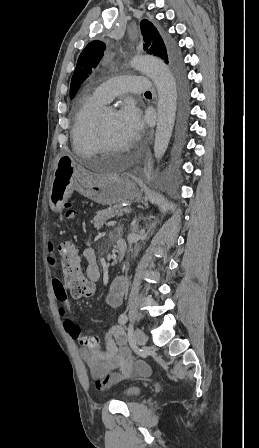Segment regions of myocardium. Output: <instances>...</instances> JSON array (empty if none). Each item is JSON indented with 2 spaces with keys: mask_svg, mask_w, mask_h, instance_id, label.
Wrapping results in <instances>:
<instances>
[{
  "mask_svg": "<svg viewBox=\"0 0 259 448\" xmlns=\"http://www.w3.org/2000/svg\"><path fill=\"white\" fill-rule=\"evenodd\" d=\"M97 139H98V144H99V148H100V150L98 152L99 154H106V153L115 152L118 150L109 141L102 114H99L97 116ZM75 156L79 157V163H87L86 159L84 157L80 156L77 152H75ZM100 171H102V170H100Z\"/></svg>",
  "mask_w": 259,
  "mask_h": 448,
  "instance_id": "1",
  "label": "myocardium"
}]
</instances>
